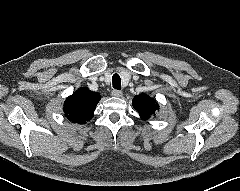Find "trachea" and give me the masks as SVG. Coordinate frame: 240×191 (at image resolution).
<instances>
[{"instance_id": "obj_1", "label": "trachea", "mask_w": 240, "mask_h": 191, "mask_svg": "<svg viewBox=\"0 0 240 191\" xmlns=\"http://www.w3.org/2000/svg\"><path fill=\"white\" fill-rule=\"evenodd\" d=\"M113 88L116 90H121V79L118 74H114L112 77Z\"/></svg>"}]
</instances>
